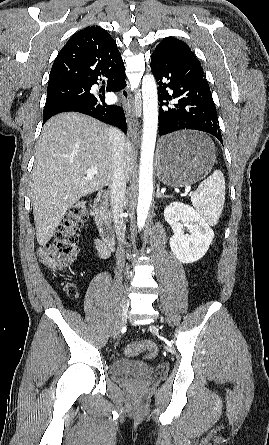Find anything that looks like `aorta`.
Instances as JSON below:
<instances>
[{"mask_svg":"<svg viewBox=\"0 0 269 445\" xmlns=\"http://www.w3.org/2000/svg\"><path fill=\"white\" fill-rule=\"evenodd\" d=\"M143 134L139 169L137 225L142 229L148 216L153 194V157L158 129V94L153 75L142 80Z\"/></svg>","mask_w":269,"mask_h":445,"instance_id":"aorta-1","label":"aorta"}]
</instances>
